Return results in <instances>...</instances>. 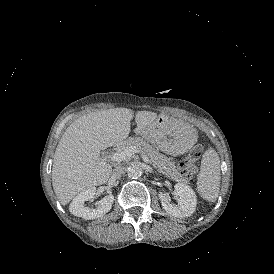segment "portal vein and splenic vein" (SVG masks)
<instances>
[{
	"instance_id": "1",
	"label": "portal vein and splenic vein",
	"mask_w": 274,
	"mask_h": 274,
	"mask_svg": "<svg viewBox=\"0 0 274 274\" xmlns=\"http://www.w3.org/2000/svg\"><path fill=\"white\" fill-rule=\"evenodd\" d=\"M135 153H138L137 148L135 146H129L122 151L115 152L113 155L110 156V160L115 162H121L129 159ZM141 157L144 162L149 163V158L146 155H142Z\"/></svg>"
}]
</instances>
